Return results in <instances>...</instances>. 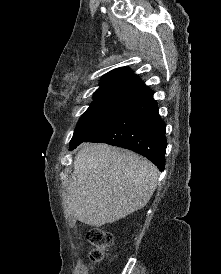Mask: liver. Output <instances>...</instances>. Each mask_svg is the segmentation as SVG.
<instances>
[{
  "mask_svg": "<svg viewBox=\"0 0 221 274\" xmlns=\"http://www.w3.org/2000/svg\"><path fill=\"white\" fill-rule=\"evenodd\" d=\"M73 167L63 206L80 222L94 227L146 206L159 176L147 159L107 144H83Z\"/></svg>",
  "mask_w": 221,
  "mask_h": 274,
  "instance_id": "obj_1",
  "label": "liver"
}]
</instances>
